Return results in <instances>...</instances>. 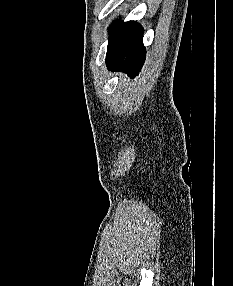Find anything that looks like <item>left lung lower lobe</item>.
I'll list each match as a JSON object with an SVG mask.
<instances>
[{
	"label": "left lung lower lobe",
	"instance_id": "0a47b994",
	"mask_svg": "<svg viewBox=\"0 0 233 286\" xmlns=\"http://www.w3.org/2000/svg\"><path fill=\"white\" fill-rule=\"evenodd\" d=\"M143 28L135 21H116L110 26L106 65L109 70H123L131 77L138 75L145 61Z\"/></svg>",
	"mask_w": 233,
	"mask_h": 286
}]
</instances>
